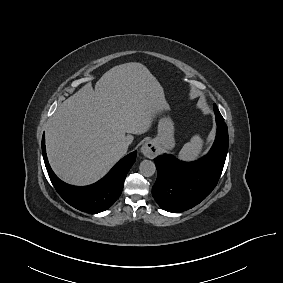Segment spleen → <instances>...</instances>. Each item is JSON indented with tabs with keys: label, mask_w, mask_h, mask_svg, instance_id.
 Returning a JSON list of instances; mask_svg holds the SVG:
<instances>
[{
	"label": "spleen",
	"mask_w": 283,
	"mask_h": 283,
	"mask_svg": "<svg viewBox=\"0 0 283 283\" xmlns=\"http://www.w3.org/2000/svg\"><path fill=\"white\" fill-rule=\"evenodd\" d=\"M203 140L199 135L192 137L191 141L186 143L179 153V158L185 161L197 159L202 151Z\"/></svg>",
	"instance_id": "spleen-1"
}]
</instances>
